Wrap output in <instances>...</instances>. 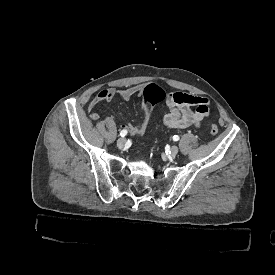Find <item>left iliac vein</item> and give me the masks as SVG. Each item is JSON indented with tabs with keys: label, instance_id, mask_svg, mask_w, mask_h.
Segmentation results:
<instances>
[{
	"label": "left iliac vein",
	"instance_id": "left-iliac-vein-1",
	"mask_svg": "<svg viewBox=\"0 0 275 275\" xmlns=\"http://www.w3.org/2000/svg\"><path fill=\"white\" fill-rule=\"evenodd\" d=\"M170 150H171V154L173 156L177 155V153L179 152V148L177 146H175V145L172 146Z\"/></svg>",
	"mask_w": 275,
	"mask_h": 275
}]
</instances>
